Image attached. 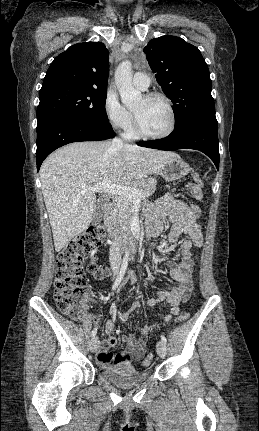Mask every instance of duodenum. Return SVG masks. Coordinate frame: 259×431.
<instances>
[{"instance_id":"410a0bca","label":"duodenum","mask_w":259,"mask_h":431,"mask_svg":"<svg viewBox=\"0 0 259 431\" xmlns=\"http://www.w3.org/2000/svg\"><path fill=\"white\" fill-rule=\"evenodd\" d=\"M113 201H109L104 207V226L108 234V243L119 244L121 249L127 252H134L137 249V230L132 233H124L120 235L113 225Z\"/></svg>"}]
</instances>
